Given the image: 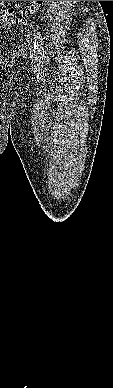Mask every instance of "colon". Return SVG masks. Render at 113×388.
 I'll use <instances>...</instances> for the list:
<instances>
[{
    "label": "colon",
    "mask_w": 113,
    "mask_h": 388,
    "mask_svg": "<svg viewBox=\"0 0 113 388\" xmlns=\"http://www.w3.org/2000/svg\"><path fill=\"white\" fill-rule=\"evenodd\" d=\"M45 1H31L30 4L22 11L21 16H17L11 9L0 10V23L4 26H14L21 24L25 16H29L36 12Z\"/></svg>",
    "instance_id": "colon-1"
}]
</instances>
